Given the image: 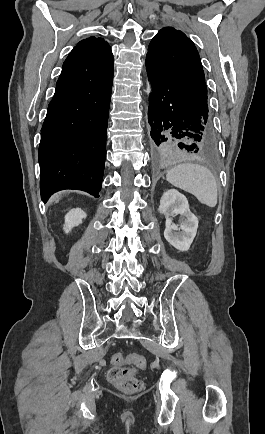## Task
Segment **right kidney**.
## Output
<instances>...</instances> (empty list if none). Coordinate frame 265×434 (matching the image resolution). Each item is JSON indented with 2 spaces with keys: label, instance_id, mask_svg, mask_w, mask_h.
I'll return each instance as SVG.
<instances>
[{
  "label": "right kidney",
  "instance_id": "1",
  "mask_svg": "<svg viewBox=\"0 0 265 434\" xmlns=\"http://www.w3.org/2000/svg\"><path fill=\"white\" fill-rule=\"evenodd\" d=\"M83 218H87V214H85L81 208H74V210H70V212H68V214L65 216V224L63 228L65 234H69L72 228L82 224Z\"/></svg>",
  "mask_w": 265,
  "mask_h": 434
}]
</instances>
